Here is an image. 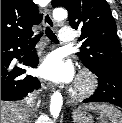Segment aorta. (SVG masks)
<instances>
[{
	"mask_svg": "<svg viewBox=\"0 0 122 123\" xmlns=\"http://www.w3.org/2000/svg\"><path fill=\"white\" fill-rule=\"evenodd\" d=\"M53 18L62 21L67 18V11L64 8H56L53 11ZM63 104V97L60 92L56 91L50 100V113L53 118H57L60 114Z\"/></svg>",
	"mask_w": 122,
	"mask_h": 123,
	"instance_id": "762f6f07",
	"label": "aorta"
}]
</instances>
